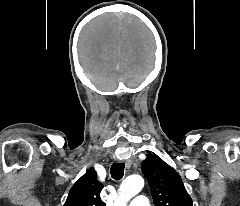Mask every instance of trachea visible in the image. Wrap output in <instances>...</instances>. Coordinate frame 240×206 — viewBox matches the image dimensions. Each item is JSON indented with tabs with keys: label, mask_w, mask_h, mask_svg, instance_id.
<instances>
[{
	"label": "trachea",
	"mask_w": 240,
	"mask_h": 206,
	"mask_svg": "<svg viewBox=\"0 0 240 206\" xmlns=\"http://www.w3.org/2000/svg\"><path fill=\"white\" fill-rule=\"evenodd\" d=\"M124 163H113L110 169V173L113 179L120 180L124 175Z\"/></svg>",
	"instance_id": "3493384b"
}]
</instances>
